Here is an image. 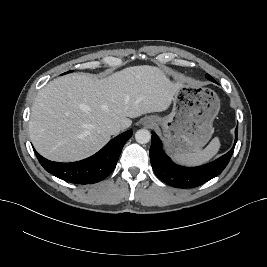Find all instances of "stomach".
I'll list each match as a JSON object with an SVG mask.
<instances>
[{"instance_id":"stomach-1","label":"stomach","mask_w":267,"mask_h":267,"mask_svg":"<svg viewBox=\"0 0 267 267\" xmlns=\"http://www.w3.org/2000/svg\"><path fill=\"white\" fill-rule=\"evenodd\" d=\"M220 109L215 91L196 84H181L173 97L169 115L153 116L162 126L166 146L172 153L202 149L213 134V120Z\"/></svg>"}]
</instances>
